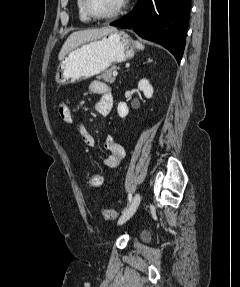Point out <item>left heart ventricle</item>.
Wrapping results in <instances>:
<instances>
[{"label": "left heart ventricle", "mask_w": 240, "mask_h": 287, "mask_svg": "<svg viewBox=\"0 0 240 287\" xmlns=\"http://www.w3.org/2000/svg\"><path fill=\"white\" fill-rule=\"evenodd\" d=\"M121 0H90L92 10L98 15H106L117 8Z\"/></svg>", "instance_id": "left-heart-ventricle-1"}]
</instances>
